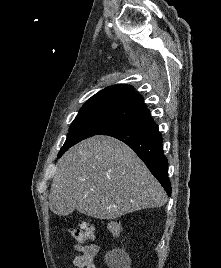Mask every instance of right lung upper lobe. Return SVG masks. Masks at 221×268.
Masks as SVG:
<instances>
[{"instance_id":"1","label":"right lung upper lobe","mask_w":221,"mask_h":268,"mask_svg":"<svg viewBox=\"0 0 221 268\" xmlns=\"http://www.w3.org/2000/svg\"><path fill=\"white\" fill-rule=\"evenodd\" d=\"M143 102L132 86L113 85L92 96L80 111H105L131 121L150 114Z\"/></svg>"}]
</instances>
